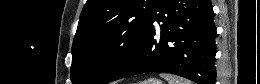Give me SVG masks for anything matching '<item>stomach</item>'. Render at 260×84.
Segmentation results:
<instances>
[{"mask_svg":"<svg viewBox=\"0 0 260 84\" xmlns=\"http://www.w3.org/2000/svg\"><path fill=\"white\" fill-rule=\"evenodd\" d=\"M140 84H163V82L156 78H150L141 82Z\"/></svg>","mask_w":260,"mask_h":84,"instance_id":"1","label":"stomach"}]
</instances>
